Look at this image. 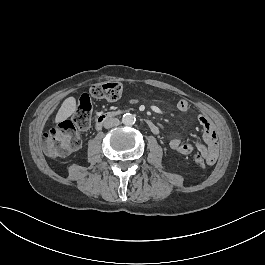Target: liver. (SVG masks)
<instances>
[{
    "label": "liver",
    "instance_id": "liver-1",
    "mask_svg": "<svg viewBox=\"0 0 265 265\" xmlns=\"http://www.w3.org/2000/svg\"><path fill=\"white\" fill-rule=\"evenodd\" d=\"M76 111V100L74 97L65 99L60 109L58 110L55 123H60L70 117Z\"/></svg>",
    "mask_w": 265,
    "mask_h": 265
}]
</instances>
